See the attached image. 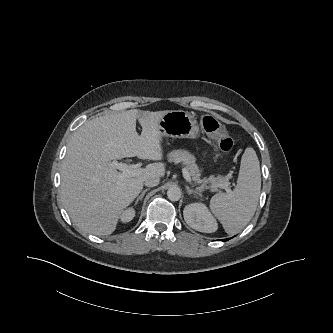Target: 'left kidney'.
<instances>
[{
    "label": "left kidney",
    "instance_id": "left-kidney-1",
    "mask_svg": "<svg viewBox=\"0 0 333 333\" xmlns=\"http://www.w3.org/2000/svg\"><path fill=\"white\" fill-rule=\"evenodd\" d=\"M184 219L193 229L203 233H213L218 229L216 219L203 203H191L184 208Z\"/></svg>",
    "mask_w": 333,
    "mask_h": 333
}]
</instances>
